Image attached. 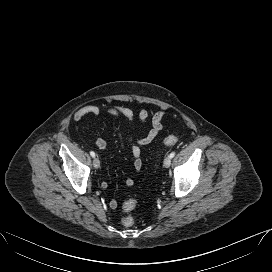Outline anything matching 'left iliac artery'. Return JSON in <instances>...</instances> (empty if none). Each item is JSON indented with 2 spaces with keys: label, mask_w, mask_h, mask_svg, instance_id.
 Here are the masks:
<instances>
[{
  "label": "left iliac artery",
  "mask_w": 272,
  "mask_h": 272,
  "mask_svg": "<svg viewBox=\"0 0 272 272\" xmlns=\"http://www.w3.org/2000/svg\"><path fill=\"white\" fill-rule=\"evenodd\" d=\"M175 156V152H171L169 157L172 159Z\"/></svg>",
  "instance_id": "obj_1"
}]
</instances>
